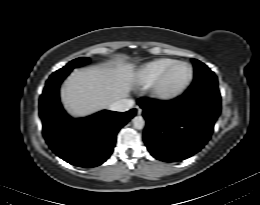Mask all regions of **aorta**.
I'll use <instances>...</instances> for the list:
<instances>
[{
  "label": "aorta",
  "mask_w": 260,
  "mask_h": 205,
  "mask_svg": "<svg viewBox=\"0 0 260 205\" xmlns=\"http://www.w3.org/2000/svg\"><path fill=\"white\" fill-rule=\"evenodd\" d=\"M133 126L135 129L141 130L145 126V120L142 116H136L133 118Z\"/></svg>",
  "instance_id": "obj_1"
}]
</instances>
